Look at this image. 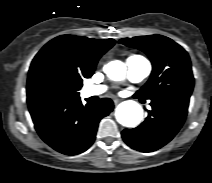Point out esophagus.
<instances>
[{
  "mask_svg": "<svg viewBox=\"0 0 212 183\" xmlns=\"http://www.w3.org/2000/svg\"><path fill=\"white\" fill-rule=\"evenodd\" d=\"M114 103L115 104H118L119 103V100L118 99H114Z\"/></svg>",
  "mask_w": 212,
  "mask_h": 183,
  "instance_id": "obj_1",
  "label": "esophagus"
}]
</instances>
